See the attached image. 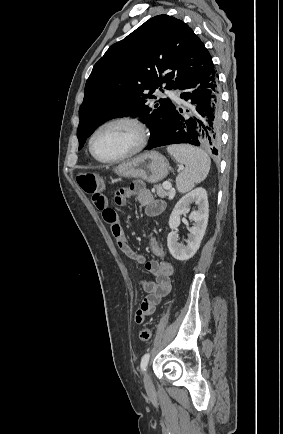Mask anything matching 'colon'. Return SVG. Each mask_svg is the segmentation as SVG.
<instances>
[{
    "label": "colon",
    "mask_w": 283,
    "mask_h": 434,
    "mask_svg": "<svg viewBox=\"0 0 283 434\" xmlns=\"http://www.w3.org/2000/svg\"><path fill=\"white\" fill-rule=\"evenodd\" d=\"M77 182L84 192L93 195L101 189V178L94 172H80L77 174ZM151 337V329L144 328L139 333L141 342H147Z\"/></svg>",
    "instance_id": "colon-1"
}]
</instances>
